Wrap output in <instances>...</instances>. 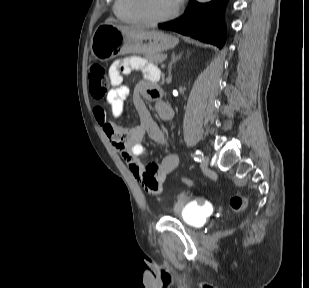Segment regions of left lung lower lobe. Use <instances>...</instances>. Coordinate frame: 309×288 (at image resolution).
I'll use <instances>...</instances> for the list:
<instances>
[{
    "instance_id": "1",
    "label": "left lung lower lobe",
    "mask_w": 309,
    "mask_h": 288,
    "mask_svg": "<svg viewBox=\"0 0 309 288\" xmlns=\"http://www.w3.org/2000/svg\"><path fill=\"white\" fill-rule=\"evenodd\" d=\"M227 0H213L200 4L189 0L186 12L180 18L158 24L161 29L172 30L201 41L223 47L226 28L223 14Z\"/></svg>"
}]
</instances>
